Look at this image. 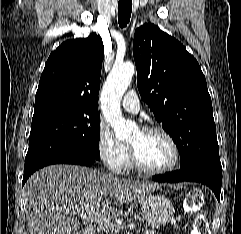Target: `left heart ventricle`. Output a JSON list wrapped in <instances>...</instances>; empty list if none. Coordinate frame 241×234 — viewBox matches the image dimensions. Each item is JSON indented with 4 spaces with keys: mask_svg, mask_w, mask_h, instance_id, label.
<instances>
[{
    "mask_svg": "<svg viewBox=\"0 0 241 234\" xmlns=\"http://www.w3.org/2000/svg\"><path fill=\"white\" fill-rule=\"evenodd\" d=\"M130 144L136 147L141 161L150 168H164L174 157L169 141L160 133H143L137 131Z\"/></svg>",
    "mask_w": 241,
    "mask_h": 234,
    "instance_id": "1",
    "label": "left heart ventricle"
}]
</instances>
